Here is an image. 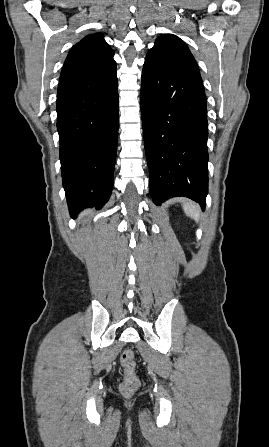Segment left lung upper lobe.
Wrapping results in <instances>:
<instances>
[{
	"instance_id": "5c2ea615",
	"label": "left lung upper lobe",
	"mask_w": 269,
	"mask_h": 447,
	"mask_svg": "<svg viewBox=\"0 0 269 447\" xmlns=\"http://www.w3.org/2000/svg\"><path fill=\"white\" fill-rule=\"evenodd\" d=\"M149 52H154L163 58L186 64L199 72L198 65L186 44L173 34H163L158 37L154 47Z\"/></svg>"
}]
</instances>
